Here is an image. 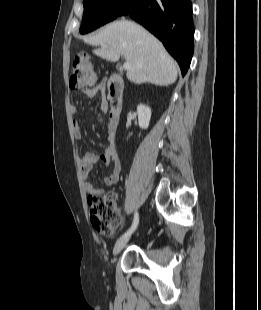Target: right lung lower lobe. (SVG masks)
<instances>
[{
  "instance_id": "1",
  "label": "right lung lower lobe",
  "mask_w": 261,
  "mask_h": 310,
  "mask_svg": "<svg viewBox=\"0 0 261 310\" xmlns=\"http://www.w3.org/2000/svg\"><path fill=\"white\" fill-rule=\"evenodd\" d=\"M129 15L153 33L177 60L184 76L193 55L191 0H129L118 16Z\"/></svg>"
}]
</instances>
